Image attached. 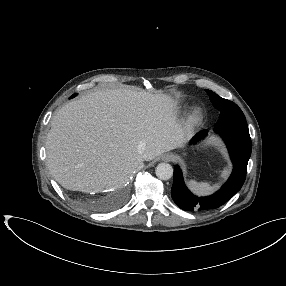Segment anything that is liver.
Returning <instances> with one entry per match:
<instances>
[{"mask_svg":"<svg viewBox=\"0 0 286 286\" xmlns=\"http://www.w3.org/2000/svg\"><path fill=\"white\" fill-rule=\"evenodd\" d=\"M192 128L177 120L165 94L118 88L67 103L51 120L47 165L64 188L85 193L117 190L136 166L182 147Z\"/></svg>","mask_w":286,"mask_h":286,"instance_id":"liver-1","label":"liver"}]
</instances>
